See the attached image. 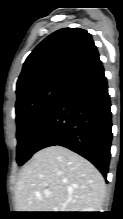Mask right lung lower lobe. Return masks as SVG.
<instances>
[{"instance_id":"98d812e1","label":"right lung lower lobe","mask_w":123,"mask_h":219,"mask_svg":"<svg viewBox=\"0 0 123 219\" xmlns=\"http://www.w3.org/2000/svg\"><path fill=\"white\" fill-rule=\"evenodd\" d=\"M110 106L99 59L67 82L36 143V152L64 146L88 159L106 178L112 140Z\"/></svg>"}]
</instances>
